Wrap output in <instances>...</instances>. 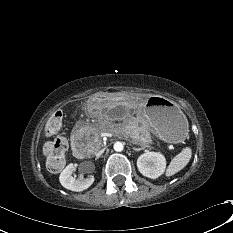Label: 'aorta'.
I'll return each instance as SVG.
<instances>
[{
    "label": "aorta",
    "mask_w": 233,
    "mask_h": 233,
    "mask_svg": "<svg viewBox=\"0 0 233 233\" xmlns=\"http://www.w3.org/2000/svg\"><path fill=\"white\" fill-rule=\"evenodd\" d=\"M124 148V145L122 142H116L114 144V150L117 151V152H121Z\"/></svg>",
    "instance_id": "obj_1"
}]
</instances>
